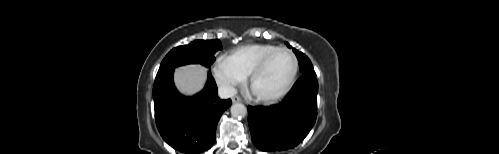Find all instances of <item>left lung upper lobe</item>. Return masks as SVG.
Masks as SVG:
<instances>
[{"instance_id":"1","label":"left lung upper lobe","mask_w":499,"mask_h":154,"mask_svg":"<svg viewBox=\"0 0 499 154\" xmlns=\"http://www.w3.org/2000/svg\"><path fill=\"white\" fill-rule=\"evenodd\" d=\"M286 45L287 47L291 48V46L287 42ZM293 51L295 52L297 59L299 61V70L301 74L315 77L316 73L309 58L305 54L299 52L296 49H293Z\"/></svg>"}]
</instances>
